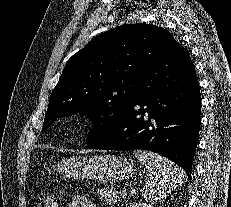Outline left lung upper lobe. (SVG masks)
<instances>
[{
    "label": "left lung upper lobe",
    "instance_id": "obj_1",
    "mask_svg": "<svg viewBox=\"0 0 231 207\" xmlns=\"http://www.w3.org/2000/svg\"><path fill=\"white\" fill-rule=\"evenodd\" d=\"M175 41L166 29L144 23L122 25L92 39L66 63L42 131L59 117L80 113L94 121L87 147L103 141L137 99L142 75Z\"/></svg>",
    "mask_w": 231,
    "mask_h": 207
}]
</instances>
